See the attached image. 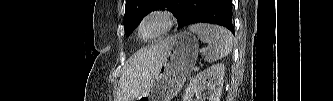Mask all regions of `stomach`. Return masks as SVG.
Wrapping results in <instances>:
<instances>
[{
  "instance_id": "1",
  "label": "stomach",
  "mask_w": 333,
  "mask_h": 101,
  "mask_svg": "<svg viewBox=\"0 0 333 101\" xmlns=\"http://www.w3.org/2000/svg\"><path fill=\"white\" fill-rule=\"evenodd\" d=\"M166 57L157 76L134 101H170L181 90L197 57L198 39L188 32L165 40Z\"/></svg>"
}]
</instances>
